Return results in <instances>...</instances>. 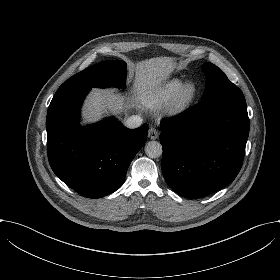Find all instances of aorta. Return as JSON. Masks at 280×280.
Wrapping results in <instances>:
<instances>
[{
  "label": "aorta",
  "instance_id": "obj_1",
  "mask_svg": "<svg viewBox=\"0 0 280 280\" xmlns=\"http://www.w3.org/2000/svg\"><path fill=\"white\" fill-rule=\"evenodd\" d=\"M145 153L150 158H157L162 155V145L158 141H149L145 146Z\"/></svg>",
  "mask_w": 280,
  "mask_h": 280
}]
</instances>
